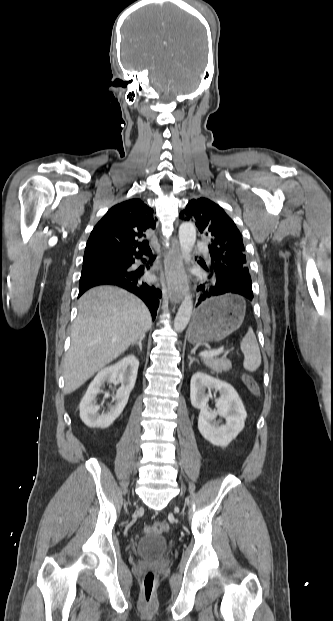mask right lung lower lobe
I'll return each instance as SVG.
<instances>
[{
	"instance_id": "obj_1",
	"label": "right lung lower lobe",
	"mask_w": 333,
	"mask_h": 621,
	"mask_svg": "<svg viewBox=\"0 0 333 621\" xmlns=\"http://www.w3.org/2000/svg\"><path fill=\"white\" fill-rule=\"evenodd\" d=\"M148 254L150 252L145 253V255ZM142 255L144 254L122 255L84 261L79 280L78 297L94 286L105 284L117 285L141 298L148 306L154 320L162 293L155 286L142 281L143 268L137 270H131L130 268L135 262V258H141Z\"/></svg>"
}]
</instances>
